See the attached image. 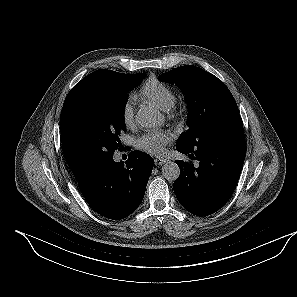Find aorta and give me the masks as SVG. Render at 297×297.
Listing matches in <instances>:
<instances>
[{
  "label": "aorta",
  "instance_id": "762f6f07",
  "mask_svg": "<svg viewBox=\"0 0 297 297\" xmlns=\"http://www.w3.org/2000/svg\"><path fill=\"white\" fill-rule=\"evenodd\" d=\"M135 117L136 122L145 128L155 127L161 123L159 113L150 106L141 107ZM162 175L168 181H175L180 175V168L175 162H166L162 167Z\"/></svg>",
  "mask_w": 297,
  "mask_h": 297
}]
</instances>
